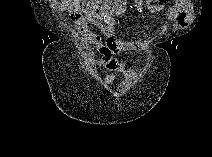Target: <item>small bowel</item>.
<instances>
[{
    "label": "small bowel",
    "mask_w": 212,
    "mask_h": 157,
    "mask_svg": "<svg viewBox=\"0 0 212 157\" xmlns=\"http://www.w3.org/2000/svg\"><path fill=\"white\" fill-rule=\"evenodd\" d=\"M168 0L156 1L152 4L155 12L162 10ZM52 6L68 14L74 22L77 32L92 43L100 58L96 64L105 67L109 74L104 78V85H111L121 80V87H127L138 75L137 70L126 65L118 56L127 51L143 47L141 42L120 41L115 33V18L124 15L126 11L125 0L81 1V0H54ZM139 0L133 2L136 10L143 9ZM167 19L184 26L188 21V4L186 1H176L166 10ZM95 27L100 34L91 30Z\"/></svg>",
    "instance_id": "c3829d8e"
}]
</instances>
